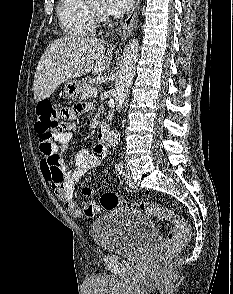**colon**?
Returning a JSON list of instances; mask_svg holds the SVG:
<instances>
[{"label":"colon","instance_id":"obj_1","mask_svg":"<svg viewBox=\"0 0 233 294\" xmlns=\"http://www.w3.org/2000/svg\"><path fill=\"white\" fill-rule=\"evenodd\" d=\"M35 131L39 136L40 150L51 149L56 134L66 131L60 129L61 110H57L51 102L44 100L37 106ZM55 156V155H53ZM124 202L115 193H104L100 198L103 208L110 210ZM141 212L158 219L171 222L173 228L169 231L164 245L158 252V262L164 263L170 255L183 246L189 238V226L187 221L176 214L170 208L158 205L153 202L133 203ZM91 210V208H89Z\"/></svg>","mask_w":233,"mask_h":294}]
</instances>
